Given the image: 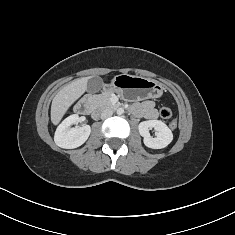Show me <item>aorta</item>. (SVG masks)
<instances>
[{
	"mask_svg": "<svg viewBox=\"0 0 235 235\" xmlns=\"http://www.w3.org/2000/svg\"><path fill=\"white\" fill-rule=\"evenodd\" d=\"M123 113H124V109L123 108L117 109V114L118 115H122Z\"/></svg>",
	"mask_w": 235,
	"mask_h": 235,
	"instance_id": "762f6f07",
	"label": "aorta"
}]
</instances>
